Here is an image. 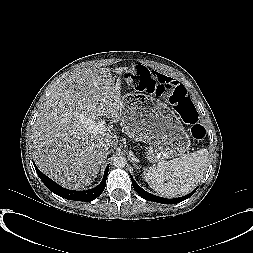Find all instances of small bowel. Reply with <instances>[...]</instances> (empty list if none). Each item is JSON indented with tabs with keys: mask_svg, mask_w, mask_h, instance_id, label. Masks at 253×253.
<instances>
[{
	"mask_svg": "<svg viewBox=\"0 0 253 253\" xmlns=\"http://www.w3.org/2000/svg\"><path fill=\"white\" fill-rule=\"evenodd\" d=\"M172 83H174V81L166 75L157 72H149L148 79L138 78L132 82V85L140 91L158 92L160 86H168Z\"/></svg>",
	"mask_w": 253,
	"mask_h": 253,
	"instance_id": "1",
	"label": "small bowel"
}]
</instances>
